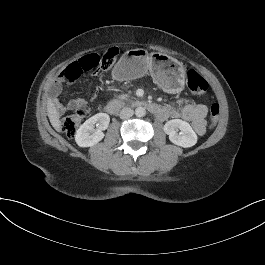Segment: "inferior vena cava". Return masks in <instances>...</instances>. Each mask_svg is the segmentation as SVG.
<instances>
[{"instance_id":"602c4592","label":"inferior vena cava","mask_w":265,"mask_h":265,"mask_svg":"<svg viewBox=\"0 0 265 265\" xmlns=\"http://www.w3.org/2000/svg\"><path fill=\"white\" fill-rule=\"evenodd\" d=\"M134 114V111L131 108L125 107L120 112V118L121 119H128L132 117Z\"/></svg>"}]
</instances>
